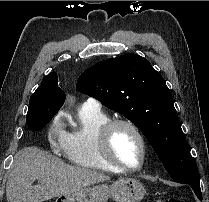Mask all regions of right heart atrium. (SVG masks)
Returning a JSON list of instances; mask_svg holds the SVG:
<instances>
[{
	"instance_id": "obj_1",
	"label": "right heart atrium",
	"mask_w": 209,
	"mask_h": 202,
	"mask_svg": "<svg viewBox=\"0 0 209 202\" xmlns=\"http://www.w3.org/2000/svg\"><path fill=\"white\" fill-rule=\"evenodd\" d=\"M45 134L53 151H61L64 149L67 141V131L59 115H55L50 119Z\"/></svg>"
}]
</instances>
